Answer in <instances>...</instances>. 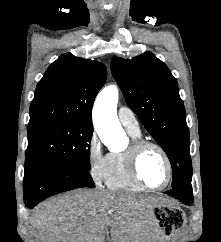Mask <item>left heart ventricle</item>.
Masks as SVG:
<instances>
[{
  "label": "left heart ventricle",
  "instance_id": "left-heart-ventricle-1",
  "mask_svg": "<svg viewBox=\"0 0 221 242\" xmlns=\"http://www.w3.org/2000/svg\"><path fill=\"white\" fill-rule=\"evenodd\" d=\"M140 174L151 187L162 186L167 179V167L161 153L155 148H148L141 156Z\"/></svg>",
  "mask_w": 221,
  "mask_h": 242
}]
</instances>
